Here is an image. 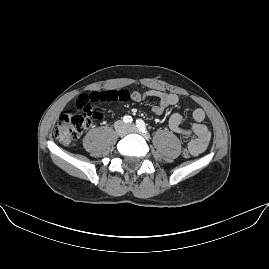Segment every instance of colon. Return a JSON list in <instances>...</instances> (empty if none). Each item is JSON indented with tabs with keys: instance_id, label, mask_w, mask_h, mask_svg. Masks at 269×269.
<instances>
[{
	"instance_id": "colon-1",
	"label": "colon",
	"mask_w": 269,
	"mask_h": 269,
	"mask_svg": "<svg viewBox=\"0 0 269 269\" xmlns=\"http://www.w3.org/2000/svg\"><path fill=\"white\" fill-rule=\"evenodd\" d=\"M115 99H129L127 91L106 90L100 95L99 92H83L79 95L77 101L78 109L85 114H79L72 111H65L60 114L54 129L56 138L63 144H72L83 132L92 128L102 115L95 107L101 101H113ZM180 154L184 158H189L190 153L187 148H181Z\"/></svg>"
}]
</instances>
